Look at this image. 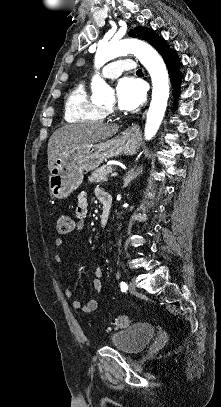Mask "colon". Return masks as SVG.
Wrapping results in <instances>:
<instances>
[{
    "mask_svg": "<svg viewBox=\"0 0 221 407\" xmlns=\"http://www.w3.org/2000/svg\"><path fill=\"white\" fill-rule=\"evenodd\" d=\"M73 228V221L66 213L58 215L56 220V231L59 235H66L71 232ZM129 324L128 313H122L113 320V327L116 329H123Z\"/></svg>",
    "mask_w": 221,
    "mask_h": 407,
    "instance_id": "obj_1",
    "label": "colon"
}]
</instances>
